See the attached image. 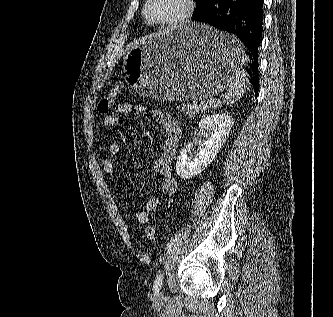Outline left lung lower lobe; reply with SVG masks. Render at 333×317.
I'll return each mask as SVG.
<instances>
[{
    "instance_id": "left-lung-lower-lobe-1",
    "label": "left lung lower lobe",
    "mask_w": 333,
    "mask_h": 317,
    "mask_svg": "<svg viewBox=\"0 0 333 317\" xmlns=\"http://www.w3.org/2000/svg\"><path fill=\"white\" fill-rule=\"evenodd\" d=\"M192 20L236 35L246 46L250 58L247 71L257 97L259 90L258 49L262 40L263 0H211L209 5ZM221 55L232 58V49L226 44L217 49Z\"/></svg>"
}]
</instances>
